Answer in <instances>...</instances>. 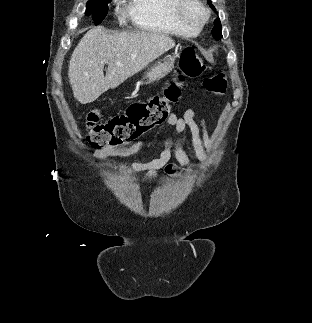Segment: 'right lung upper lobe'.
Segmentation results:
<instances>
[{"instance_id":"1","label":"right lung upper lobe","mask_w":312,"mask_h":323,"mask_svg":"<svg viewBox=\"0 0 312 323\" xmlns=\"http://www.w3.org/2000/svg\"><path fill=\"white\" fill-rule=\"evenodd\" d=\"M98 1H106V0H98Z\"/></svg>"}]
</instances>
